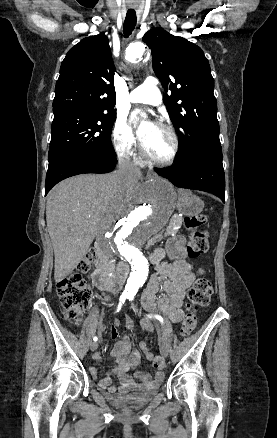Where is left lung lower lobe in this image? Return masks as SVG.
<instances>
[{"label":"left lung lower lobe","instance_id":"0a47b994","mask_svg":"<svg viewBox=\"0 0 277 438\" xmlns=\"http://www.w3.org/2000/svg\"><path fill=\"white\" fill-rule=\"evenodd\" d=\"M156 172L177 187L209 192L225 201L221 147L207 148L193 160L168 168H157Z\"/></svg>","mask_w":277,"mask_h":438}]
</instances>
